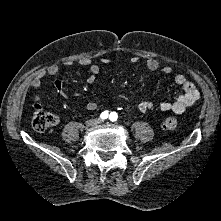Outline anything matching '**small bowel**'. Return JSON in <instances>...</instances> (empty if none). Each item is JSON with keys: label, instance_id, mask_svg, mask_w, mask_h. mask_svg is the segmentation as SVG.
<instances>
[{"label": "small bowel", "instance_id": "1", "mask_svg": "<svg viewBox=\"0 0 221 221\" xmlns=\"http://www.w3.org/2000/svg\"><path fill=\"white\" fill-rule=\"evenodd\" d=\"M132 62H137L138 58L132 57ZM79 65L88 67L90 71V77L87 79L88 84H92L97 74L100 71L98 64L92 62L88 57H83L78 60ZM102 63L110 64L111 61L108 58H103ZM146 67L151 71H156L161 69L164 75H171L173 69L168 65H161L155 58H148L146 60ZM59 72V67L56 64L48 66L45 70L39 72L37 76L32 80L27 88V92L32 95L34 100L35 108H41L40 97L38 95V89L42 85L44 78L46 76H55ZM174 82L179 85L182 89V93L179 94L174 101H148L142 100L138 102L137 106L141 112H148L151 110H161V111H172L175 114L183 113L188 107L192 106L199 98V92L196 89L193 82L189 81L184 74H176L174 76ZM53 87L55 91L62 97H67V92L65 86L61 80H55L53 82ZM123 100H129L126 96H121ZM97 105L94 102H89L86 104V108L89 110L96 109Z\"/></svg>", "mask_w": 221, "mask_h": 221}]
</instances>
